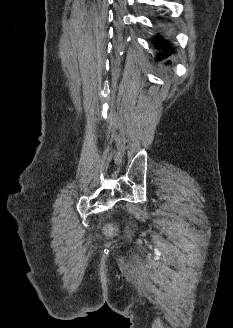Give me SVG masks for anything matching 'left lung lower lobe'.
<instances>
[{
    "label": "left lung lower lobe",
    "mask_w": 233,
    "mask_h": 328,
    "mask_svg": "<svg viewBox=\"0 0 233 328\" xmlns=\"http://www.w3.org/2000/svg\"><path fill=\"white\" fill-rule=\"evenodd\" d=\"M156 45H157L158 48H164V49L167 51V53H168L169 55H171V54L173 53V51L171 50V48H170V47L168 46V44L163 40L162 37H159V38L157 39V43H156Z\"/></svg>",
    "instance_id": "obj_1"
}]
</instances>
